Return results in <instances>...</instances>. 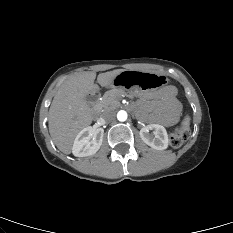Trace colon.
<instances>
[{"instance_id":"1","label":"colon","mask_w":233,"mask_h":233,"mask_svg":"<svg viewBox=\"0 0 233 233\" xmlns=\"http://www.w3.org/2000/svg\"><path fill=\"white\" fill-rule=\"evenodd\" d=\"M189 136V128L180 126L172 130L169 134V143L173 147H179Z\"/></svg>"}]
</instances>
